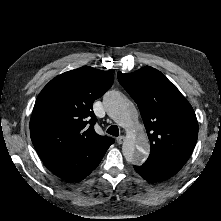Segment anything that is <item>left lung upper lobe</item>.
I'll return each instance as SVG.
<instances>
[{
	"label": "left lung upper lobe",
	"mask_w": 221,
	"mask_h": 221,
	"mask_svg": "<svg viewBox=\"0 0 221 221\" xmlns=\"http://www.w3.org/2000/svg\"><path fill=\"white\" fill-rule=\"evenodd\" d=\"M137 103L151 151L145 163L178 172L190 157L198 136L193 108L160 71L150 66L117 74Z\"/></svg>",
	"instance_id": "5c2ea615"
}]
</instances>
